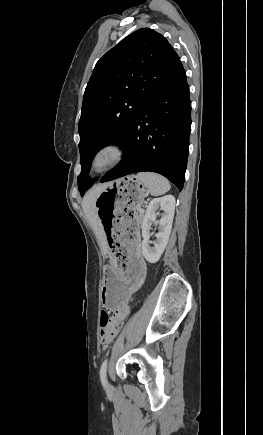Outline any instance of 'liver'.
<instances>
[{
	"label": "liver",
	"instance_id": "1",
	"mask_svg": "<svg viewBox=\"0 0 263 435\" xmlns=\"http://www.w3.org/2000/svg\"><path fill=\"white\" fill-rule=\"evenodd\" d=\"M107 184L108 183H104L94 186L89 190L82 201V209L100 241L103 253H106L107 251V241L103 226L96 212L95 202L98 195L103 191Z\"/></svg>",
	"mask_w": 263,
	"mask_h": 435
}]
</instances>
